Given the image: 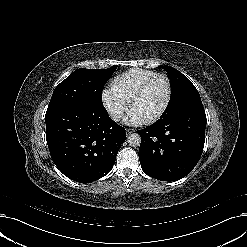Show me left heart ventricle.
<instances>
[{
	"instance_id": "left-heart-ventricle-1",
	"label": "left heart ventricle",
	"mask_w": 247,
	"mask_h": 247,
	"mask_svg": "<svg viewBox=\"0 0 247 247\" xmlns=\"http://www.w3.org/2000/svg\"><path fill=\"white\" fill-rule=\"evenodd\" d=\"M166 95V84L159 80L153 83L137 101L134 111L147 118L156 113L162 106Z\"/></svg>"
}]
</instances>
